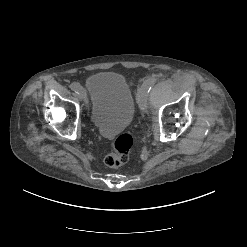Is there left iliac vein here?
<instances>
[{"instance_id":"1","label":"left iliac vein","mask_w":247,"mask_h":247,"mask_svg":"<svg viewBox=\"0 0 247 247\" xmlns=\"http://www.w3.org/2000/svg\"><path fill=\"white\" fill-rule=\"evenodd\" d=\"M147 90L142 87L139 92H138V103L139 107L142 110V112L147 113L148 112V107H147Z\"/></svg>"}]
</instances>
